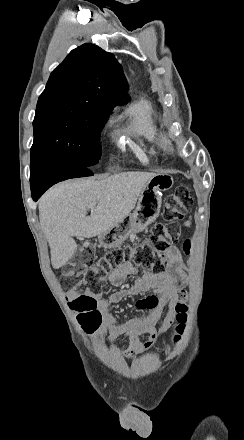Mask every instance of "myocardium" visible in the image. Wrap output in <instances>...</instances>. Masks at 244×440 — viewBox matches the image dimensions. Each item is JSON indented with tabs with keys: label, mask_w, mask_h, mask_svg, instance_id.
I'll use <instances>...</instances> for the list:
<instances>
[{
	"label": "myocardium",
	"mask_w": 244,
	"mask_h": 440,
	"mask_svg": "<svg viewBox=\"0 0 244 440\" xmlns=\"http://www.w3.org/2000/svg\"><path fill=\"white\" fill-rule=\"evenodd\" d=\"M166 149H167V151H168L169 153L172 152L173 147H172L171 142H169V141L166 142Z\"/></svg>",
	"instance_id": "obj_1"
}]
</instances>
